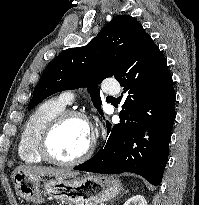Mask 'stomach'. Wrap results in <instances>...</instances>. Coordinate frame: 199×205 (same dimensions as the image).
Listing matches in <instances>:
<instances>
[{
    "mask_svg": "<svg viewBox=\"0 0 199 205\" xmlns=\"http://www.w3.org/2000/svg\"><path fill=\"white\" fill-rule=\"evenodd\" d=\"M13 182L20 197L37 204L58 200L68 205H97L116 197L122 189L117 178L91 173L74 178L43 179L17 172Z\"/></svg>",
    "mask_w": 199,
    "mask_h": 205,
    "instance_id": "obj_1",
    "label": "stomach"
}]
</instances>
